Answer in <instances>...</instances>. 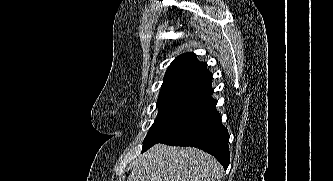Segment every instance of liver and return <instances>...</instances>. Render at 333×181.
<instances>
[{
	"label": "liver",
	"mask_w": 333,
	"mask_h": 181,
	"mask_svg": "<svg viewBox=\"0 0 333 181\" xmlns=\"http://www.w3.org/2000/svg\"><path fill=\"white\" fill-rule=\"evenodd\" d=\"M222 176L219 162L200 149L156 144L134 161L127 181H221Z\"/></svg>",
	"instance_id": "6515ba94"
}]
</instances>
